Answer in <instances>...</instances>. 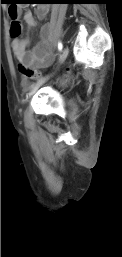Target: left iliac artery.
Returning <instances> with one entry per match:
<instances>
[{
    "label": "left iliac artery",
    "mask_w": 122,
    "mask_h": 257,
    "mask_svg": "<svg viewBox=\"0 0 122 257\" xmlns=\"http://www.w3.org/2000/svg\"><path fill=\"white\" fill-rule=\"evenodd\" d=\"M63 48V44L62 42H58V50L61 51Z\"/></svg>",
    "instance_id": "1"
}]
</instances>
